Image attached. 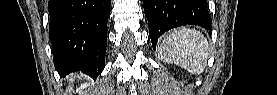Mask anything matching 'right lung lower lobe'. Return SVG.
I'll use <instances>...</instances> for the list:
<instances>
[{
	"label": "right lung lower lobe",
	"instance_id": "1",
	"mask_svg": "<svg viewBox=\"0 0 277 95\" xmlns=\"http://www.w3.org/2000/svg\"><path fill=\"white\" fill-rule=\"evenodd\" d=\"M110 5L111 0H49V38L62 77L79 70L94 79L101 74Z\"/></svg>",
	"mask_w": 277,
	"mask_h": 95
}]
</instances>
